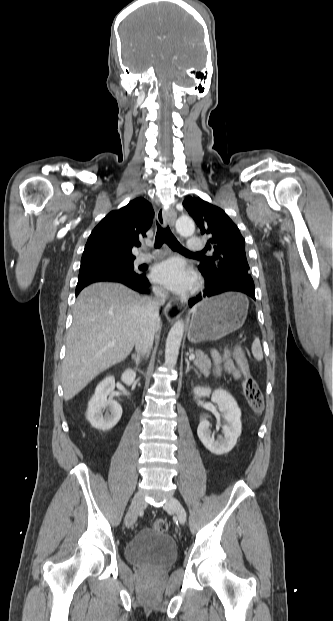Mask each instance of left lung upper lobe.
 Wrapping results in <instances>:
<instances>
[{"label": "left lung upper lobe", "instance_id": "obj_1", "mask_svg": "<svg viewBox=\"0 0 333 621\" xmlns=\"http://www.w3.org/2000/svg\"><path fill=\"white\" fill-rule=\"evenodd\" d=\"M183 206L209 237L206 248L213 251L198 269L213 281L237 275L251 277L245 254V241L238 227L219 207L199 197H187Z\"/></svg>", "mask_w": 333, "mask_h": 621}]
</instances>
